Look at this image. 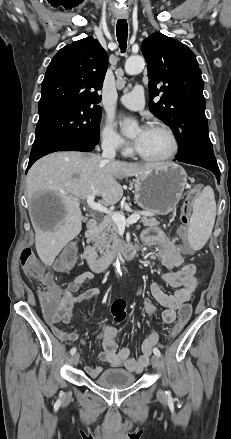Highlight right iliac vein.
I'll list each match as a JSON object with an SVG mask.
<instances>
[{"label":"right iliac vein","mask_w":231,"mask_h":439,"mask_svg":"<svg viewBox=\"0 0 231 439\" xmlns=\"http://www.w3.org/2000/svg\"><path fill=\"white\" fill-rule=\"evenodd\" d=\"M78 361H79V354L78 353L73 354V356L71 357V364L73 366H76L78 364Z\"/></svg>","instance_id":"obj_1"}]
</instances>
